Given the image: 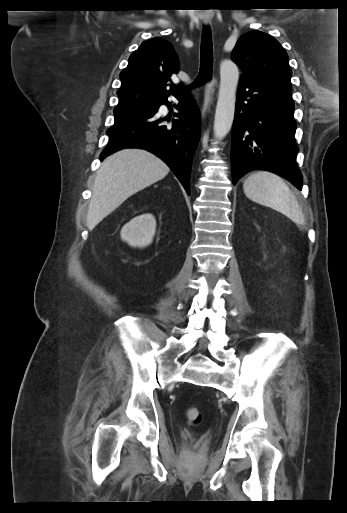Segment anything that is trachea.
<instances>
[{
    "label": "trachea",
    "instance_id": "trachea-1",
    "mask_svg": "<svg viewBox=\"0 0 347 513\" xmlns=\"http://www.w3.org/2000/svg\"><path fill=\"white\" fill-rule=\"evenodd\" d=\"M213 70V46L212 34L209 27H205L202 33L200 50V70L195 81L189 86L196 87L209 81Z\"/></svg>",
    "mask_w": 347,
    "mask_h": 513
}]
</instances>
